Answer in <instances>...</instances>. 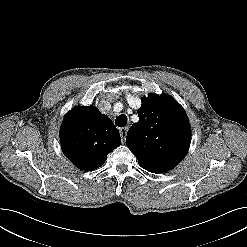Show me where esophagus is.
I'll list each match as a JSON object with an SVG mask.
<instances>
[{
	"label": "esophagus",
	"mask_w": 247,
	"mask_h": 247,
	"mask_svg": "<svg viewBox=\"0 0 247 247\" xmlns=\"http://www.w3.org/2000/svg\"><path fill=\"white\" fill-rule=\"evenodd\" d=\"M127 132H128V127L120 128V135H121L122 143L125 142V138L127 136Z\"/></svg>",
	"instance_id": "obj_1"
}]
</instances>
